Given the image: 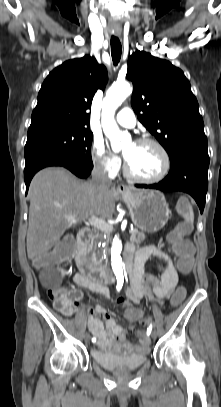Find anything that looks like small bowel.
<instances>
[{
    "label": "small bowel",
    "instance_id": "c3829d8e",
    "mask_svg": "<svg viewBox=\"0 0 221 407\" xmlns=\"http://www.w3.org/2000/svg\"><path fill=\"white\" fill-rule=\"evenodd\" d=\"M127 251L132 254L133 248L129 247ZM153 257L164 263V270L159 278L145 273V265L147 261ZM73 282L79 288L88 289L106 297L109 296V291L106 286L93 281L82 273H76L73 276ZM177 284L178 273L170 258L159 248L146 246L136 252L127 294L125 297L119 298L117 302L122 305L123 309L138 304L143 297H147L150 301L156 300L158 303L163 304L169 300L170 292L176 289ZM69 292L75 296L76 303L66 315H71L76 305L85 308L89 312L88 329L95 336L97 347L100 350L123 349L127 352L147 350L143 332L136 331L139 337V343L133 346L126 340V335L135 331L133 326H122L99 304L93 307L83 305L81 303L83 297L81 290L70 289ZM98 315L103 317L104 322Z\"/></svg>",
    "mask_w": 221,
    "mask_h": 407
}]
</instances>
